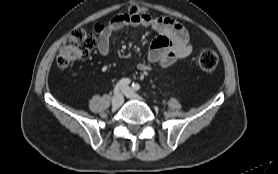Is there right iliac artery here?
<instances>
[{"mask_svg":"<svg viewBox=\"0 0 278 174\" xmlns=\"http://www.w3.org/2000/svg\"><path fill=\"white\" fill-rule=\"evenodd\" d=\"M131 82V80L129 78H123L121 79L116 86L114 87V93L118 94L119 90L122 89L123 87L129 85Z\"/></svg>","mask_w":278,"mask_h":174,"instance_id":"obj_1","label":"right iliac artery"}]
</instances>
